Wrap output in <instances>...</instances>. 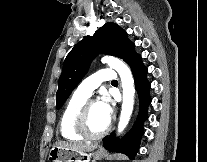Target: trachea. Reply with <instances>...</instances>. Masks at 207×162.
Wrapping results in <instances>:
<instances>
[{
  "label": "trachea",
  "mask_w": 207,
  "mask_h": 162,
  "mask_svg": "<svg viewBox=\"0 0 207 162\" xmlns=\"http://www.w3.org/2000/svg\"><path fill=\"white\" fill-rule=\"evenodd\" d=\"M113 82H114V83H117V81H116V80H114Z\"/></svg>",
  "instance_id": "3493384b"
}]
</instances>
